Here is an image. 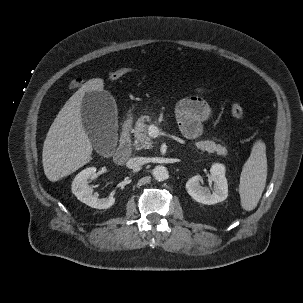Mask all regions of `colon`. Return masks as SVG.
<instances>
[{"label":"colon","mask_w":303,"mask_h":303,"mask_svg":"<svg viewBox=\"0 0 303 303\" xmlns=\"http://www.w3.org/2000/svg\"><path fill=\"white\" fill-rule=\"evenodd\" d=\"M130 71L131 68L129 67L118 68L108 74V79L111 81L118 80L124 75L128 74ZM230 112L233 117L239 121H244L246 119L245 111L243 110L242 106L237 102H233L230 105Z\"/></svg>","instance_id":"1"}]
</instances>
